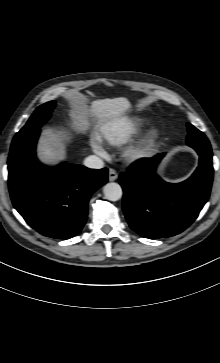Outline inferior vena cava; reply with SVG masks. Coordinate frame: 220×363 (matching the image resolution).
<instances>
[{"label": "inferior vena cava", "mask_w": 220, "mask_h": 363, "mask_svg": "<svg viewBox=\"0 0 220 363\" xmlns=\"http://www.w3.org/2000/svg\"><path fill=\"white\" fill-rule=\"evenodd\" d=\"M84 165L92 169H101L104 166V162L101 158L91 155L85 158Z\"/></svg>", "instance_id": "602c4592"}]
</instances>
